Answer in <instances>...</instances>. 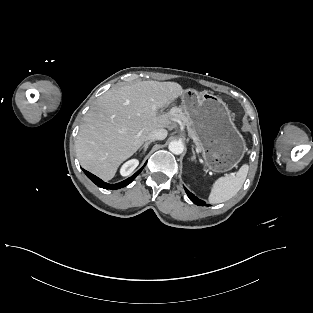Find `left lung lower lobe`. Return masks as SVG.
Wrapping results in <instances>:
<instances>
[{
  "instance_id": "1",
  "label": "left lung lower lobe",
  "mask_w": 313,
  "mask_h": 313,
  "mask_svg": "<svg viewBox=\"0 0 313 313\" xmlns=\"http://www.w3.org/2000/svg\"><path fill=\"white\" fill-rule=\"evenodd\" d=\"M189 199L195 203L196 205H199V206H204L205 205V202L199 198H197L194 194H192L187 188H184Z\"/></svg>"
}]
</instances>
